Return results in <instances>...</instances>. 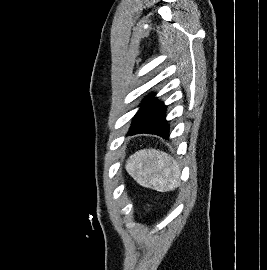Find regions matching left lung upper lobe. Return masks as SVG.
Wrapping results in <instances>:
<instances>
[{"label":"left lung upper lobe","mask_w":267,"mask_h":270,"mask_svg":"<svg viewBox=\"0 0 267 270\" xmlns=\"http://www.w3.org/2000/svg\"><path fill=\"white\" fill-rule=\"evenodd\" d=\"M157 100L155 98V94H151L144 99V101L140 104L141 108L138 110L136 115L133 118V122L131 127L138 121V119L146 112V110ZM130 127V128H131Z\"/></svg>","instance_id":"5c2ea615"}]
</instances>
